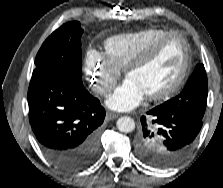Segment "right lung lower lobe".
Wrapping results in <instances>:
<instances>
[{"label": "right lung lower lobe", "mask_w": 223, "mask_h": 188, "mask_svg": "<svg viewBox=\"0 0 223 188\" xmlns=\"http://www.w3.org/2000/svg\"><path fill=\"white\" fill-rule=\"evenodd\" d=\"M28 104L35 137L55 166L74 172L96 160L105 110L84 87L60 76L32 74Z\"/></svg>", "instance_id": "98d812e1"}]
</instances>
